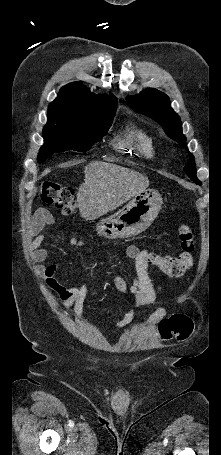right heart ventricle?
I'll return each instance as SVG.
<instances>
[{
  "label": "right heart ventricle",
  "instance_id": "e07e8e85",
  "mask_svg": "<svg viewBox=\"0 0 221 455\" xmlns=\"http://www.w3.org/2000/svg\"><path fill=\"white\" fill-rule=\"evenodd\" d=\"M121 150L136 151L138 154L151 157L154 154V139L146 129L130 125L115 142Z\"/></svg>",
  "mask_w": 221,
  "mask_h": 455
}]
</instances>
